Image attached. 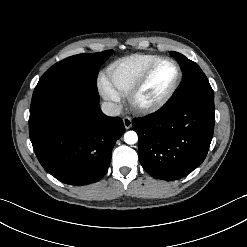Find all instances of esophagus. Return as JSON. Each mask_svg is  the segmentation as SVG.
<instances>
[{"mask_svg":"<svg viewBox=\"0 0 247 247\" xmlns=\"http://www.w3.org/2000/svg\"><path fill=\"white\" fill-rule=\"evenodd\" d=\"M123 124L126 129H130L132 126V120L130 117L126 116L123 118Z\"/></svg>","mask_w":247,"mask_h":247,"instance_id":"esophagus-1","label":"esophagus"}]
</instances>
